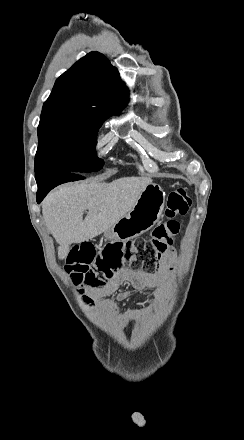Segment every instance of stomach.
Listing matches in <instances>:
<instances>
[{"label":"stomach","mask_w":244,"mask_h":440,"mask_svg":"<svg viewBox=\"0 0 244 440\" xmlns=\"http://www.w3.org/2000/svg\"><path fill=\"white\" fill-rule=\"evenodd\" d=\"M165 196L164 190L158 184L146 186L132 210L104 232L105 240L128 242L151 230L163 214Z\"/></svg>","instance_id":"obj_1"}]
</instances>
